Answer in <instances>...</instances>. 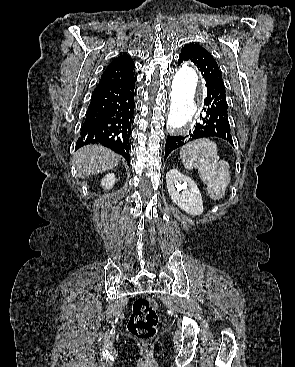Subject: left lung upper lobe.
Here are the masks:
<instances>
[{
	"instance_id": "obj_1",
	"label": "left lung upper lobe",
	"mask_w": 295,
	"mask_h": 367,
	"mask_svg": "<svg viewBox=\"0 0 295 367\" xmlns=\"http://www.w3.org/2000/svg\"><path fill=\"white\" fill-rule=\"evenodd\" d=\"M179 60L192 61L197 66L204 79L211 77L223 81L220 68L211 53L196 43L185 45L181 49Z\"/></svg>"
}]
</instances>
